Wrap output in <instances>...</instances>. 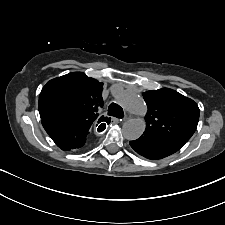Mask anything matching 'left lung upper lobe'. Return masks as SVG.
Here are the masks:
<instances>
[{
  "label": "left lung upper lobe",
  "instance_id": "left-lung-upper-lobe-1",
  "mask_svg": "<svg viewBox=\"0 0 225 225\" xmlns=\"http://www.w3.org/2000/svg\"><path fill=\"white\" fill-rule=\"evenodd\" d=\"M148 106L144 136L187 142L199 121L198 105L175 90L162 88L144 92Z\"/></svg>",
  "mask_w": 225,
  "mask_h": 225
}]
</instances>
